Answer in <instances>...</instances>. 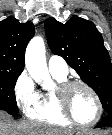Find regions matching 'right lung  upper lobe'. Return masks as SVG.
<instances>
[{"label": "right lung upper lobe", "mask_w": 112, "mask_h": 135, "mask_svg": "<svg viewBox=\"0 0 112 135\" xmlns=\"http://www.w3.org/2000/svg\"><path fill=\"white\" fill-rule=\"evenodd\" d=\"M32 22L20 23L13 17L0 22V72H22L28 42L34 36Z\"/></svg>", "instance_id": "right-lung-upper-lobe-1"}]
</instances>
